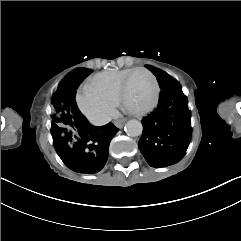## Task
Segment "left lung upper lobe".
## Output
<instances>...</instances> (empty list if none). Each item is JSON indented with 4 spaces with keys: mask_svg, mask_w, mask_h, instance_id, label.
<instances>
[{
    "mask_svg": "<svg viewBox=\"0 0 241 241\" xmlns=\"http://www.w3.org/2000/svg\"><path fill=\"white\" fill-rule=\"evenodd\" d=\"M156 77L161 88H164L170 84L176 83L171 76L160 69L153 68L151 66H146Z\"/></svg>",
    "mask_w": 241,
    "mask_h": 241,
    "instance_id": "obj_1",
    "label": "left lung upper lobe"
}]
</instances>
